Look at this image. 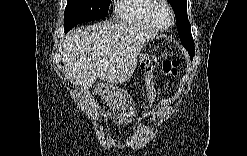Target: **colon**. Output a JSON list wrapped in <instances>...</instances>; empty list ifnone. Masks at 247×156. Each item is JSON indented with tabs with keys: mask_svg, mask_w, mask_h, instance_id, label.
Here are the masks:
<instances>
[{
	"mask_svg": "<svg viewBox=\"0 0 247 156\" xmlns=\"http://www.w3.org/2000/svg\"><path fill=\"white\" fill-rule=\"evenodd\" d=\"M179 63L177 60L166 61L162 65L163 73L168 77H175L177 74Z\"/></svg>",
	"mask_w": 247,
	"mask_h": 156,
	"instance_id": "colon-1",
	"label": "colon"
}]
</instances>
